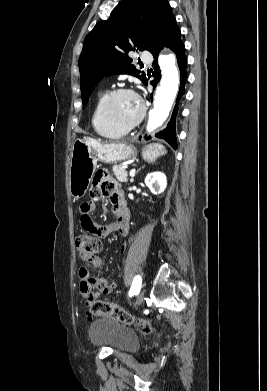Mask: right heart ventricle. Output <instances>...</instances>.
<instances>
[{"label":"right heart ventricle","mask_w":267,"mask_h":391,"mask_svg":"<svg viewBox=\"0 0 267 391\" xmlns=\"http://www.w3.org/2000/svg\"><path fill=\"white\" fill-rule=\"evenodd\" d=\"M107 95L108 91L99 93L92 111V125L94 130L103 137L112 139L119 138L126 132L113 127L104 116L103 106Z\"/></svg>","instance_id":"obj_1"}]
</instances>
